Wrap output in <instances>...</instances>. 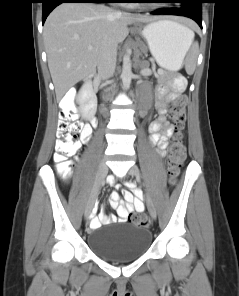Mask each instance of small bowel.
Here are the masks:
<instances>
[{"instance_id": "small-bowel-1", "label": "small bowel", "mask_w": 239, "mask_h": 296, "mask_svg": "<svg viewBox=\"0 0 239 296\" xmlns=\"http://www.w3.org/2000/svg\"><path fill=\"white\" fill-rule=\"evenodd\" d=\"M185 87L184 79H176L171 85H160L156 91L155 109L157 117L149 124L148 131L150 141L156 145L160 154L165 155L168 148V140L173 133V126L167 119V103L177 100L181 97V93ZM92 134V127L84 124L81 130V142L87 143ZM114 178H112V181ZM122 195L126 203H123L120 194L113 191L111 194L110 206L116 210L118 218L115 216H107L100 214L92 216L90 228L96 229L100 225L114 223L116 221L126 222L133 212H141L144 210L142 198L145 194L136 187L132 182L127 183V189L122 190Z\"/></svg>"}]
</instances>
